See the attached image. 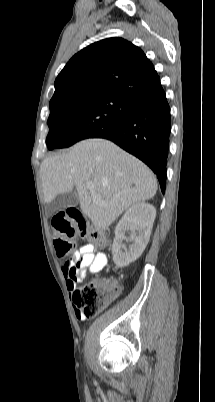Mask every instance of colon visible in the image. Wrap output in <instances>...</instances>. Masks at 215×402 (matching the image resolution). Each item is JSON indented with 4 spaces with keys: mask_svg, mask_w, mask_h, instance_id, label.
Listing matches in <instances>:
<instances>
[{
    "mask_svg": "<svg viewBox=\"0 0 215 402\" xmlns=\"http://www.w3.org/2000/svg\"><path fill=\"white\" fill-rule=\"evenodd\" d=\"M51 228L56 253L60 257H66L65 266L70 267L72 273L79 266V261L71 256L73 237L80 236L100 246H105L108 242L103 233L91 228L73 208L55 214L51 219ZM116 294L117 290L112 284L92 282L76 290L73 301L84 316L91 317L104 309Z\"/></svg>",
    "mask_w": 215,
    "mask_h": 402,
    "instance_id": "5ec220e1",
    "label": "colon"
}]
</instances>
